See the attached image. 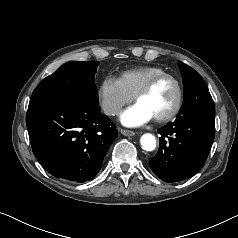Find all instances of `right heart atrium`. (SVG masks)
<instances>
[{"mask_svg":"<svg viewBox=\"0 0 238 238\" xmlns=\"http://www.w3.org/2000/svg\"><path fill=\"white\" fill-rule=\"evenodd\" d=\"M98 97L102 110L108 116H116L133 98L123 89L118 78L111 76L102 80Z\"/></svg>","mask_w":238,"mask_h":238,"instance_id":"1","label":"right heart atrium"}]
</instances>
